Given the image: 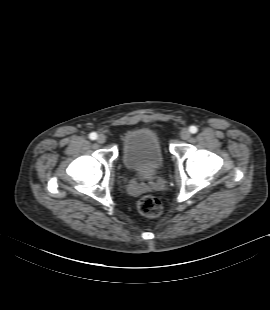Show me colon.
Listing matches in <instances>:
<instances>
[{"label": "colon", "instance_id": "1", "mask_svg": "<svg viewBox=\"0 0 270 310\" xmlns=\"http://www.w3.org/2000/svg\"><path fill=\"white\" fill-rule=\"evenodd\" d=\"M138 211L147 217H158L162 213V204L154 196H144L137 203Z\"/></svg>", "mask_w": 270, "mask_h": 310}]
</instances>
